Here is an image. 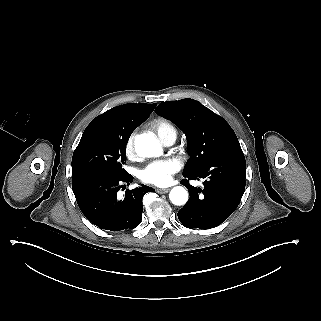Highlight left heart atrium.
Here are the masks:
<instances>
[{
  "mask_svg": "<svg viewBox=\"0 0 321 321\" xmlns=\"http://www.w3.org/2000/svg\"><path fill=\"white\" fill-rule=\"evenodd\" d=\"M182 166L177 158H166L150 162L146 167L140 170V179L146 183L158 186L168 185Z\"/></svg>",
  "mask_w": 321,
  "mask_h": 321,
  "instance_id": "obj_1",
  "label": "left heart atrium"
}]
</instances>
